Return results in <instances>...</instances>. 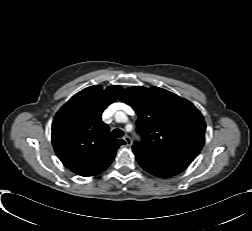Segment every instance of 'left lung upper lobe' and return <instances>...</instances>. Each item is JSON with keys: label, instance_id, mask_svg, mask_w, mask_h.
<instances>
[{"label": "left lung upper lobe", "instance_id": "obj_1", "mask_svg": "<svg viewBox=\"0 0 252 231\" xmlns=\"http://www.w3.org/2000/svg\"><path fill=\"white\" fill-rule=\"evenodd\" d=\"M120 100L138 115L142 143L133 152L146 156L179 157L193 161L205 142L206 124L188 100L159 87L127 88Z\"/></svg>", "mask_w": 252, "mask_h": 231}]
</instances>
